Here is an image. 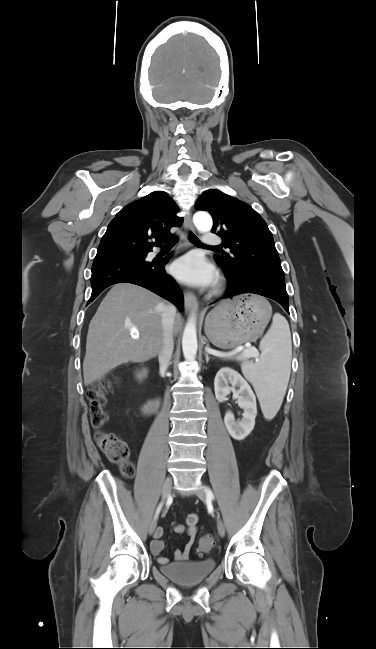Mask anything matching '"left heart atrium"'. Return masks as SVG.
<instances>
[{"label":"left heart atrium","instance_id":"1","mask_svg":"<svg viewBox=\"0 0 376 649\" xmlns=\"http://www.w3.org/2000/svg\"><path fill=\"white\" fill-rule=\"evenodd\" d=\"M172 272L179 280L192 285H211L216 279L214 268L196 254L178 259L172 266Z\"/></svg>","mask_w":376,"mask_h":649}]
</instances>
